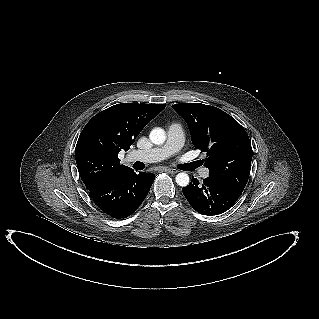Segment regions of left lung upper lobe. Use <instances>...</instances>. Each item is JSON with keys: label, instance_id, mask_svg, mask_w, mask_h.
Listing matches in <instances>:
<instances>
[{"label": "left lung upper lobe", "instance_id": "5c2ea615", "mask_svg": "<svg viewBox=\"0 0 319 319\" xmlns=\"http://www.w3.org/2000/svg\"><path fill=\"white\" fill-rule=\"evenodd\" d=\"M173 109L187 122L192 142L206 152L209 176L244 190L252 160V148L244 128L224 111L201 103H179Z\"/></svg>", "mask_w": 319, "mask_h": 319}]
</instances>
